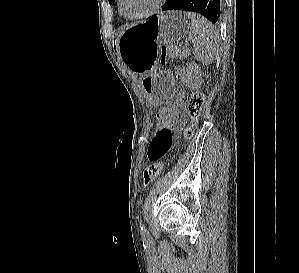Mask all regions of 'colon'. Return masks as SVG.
Returning <instances> with one entry per match:
<instances>
[{
    "label": "colon",
    "instance_id": "1",
    "mask_svg": "<svg viewBox=\"0 0 299 273\" xmlns=\"http://www.w3.org/2000/svg\"><path fill=\"white\" fill-rule=\"evenodd\" d=\"M177 48L174 45H163L161 47V62L164 63L167 57L176 54ZM183 92L168 105H165L156 114V129L170 126L178 115L183 111ZM205 97L202 92L194 93L187 102V115L190 119L189 125L184 130V137L190 138L199 121L204 106ZM165 162H153L143 172V187L149 185L157 178L165 167Z\"/></svg>",
    "mask_w": 299,
    "mask_h": 273
}]
</instances>
